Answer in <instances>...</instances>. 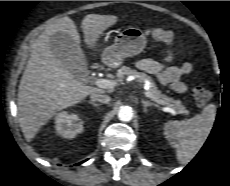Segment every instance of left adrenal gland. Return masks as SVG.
<instances>
[{
	"instance_id": "1",
	"label": "left adrenal gland",
	"mask_w": 230,
	"mask_h": 186,
	"mask_svg": "<svg viewBox=\"0 0 230 186\" xmlns=\"http://www.w3.org/2000/svg\"><path fill=\"white\" fill-rule=\"evenodd\" d=\"M141 103L143 104V111L146 113L148 110V107H152V106H156V104L151 103L150 101H145V100H141Z\"/></svg>"
}]
</instances>
